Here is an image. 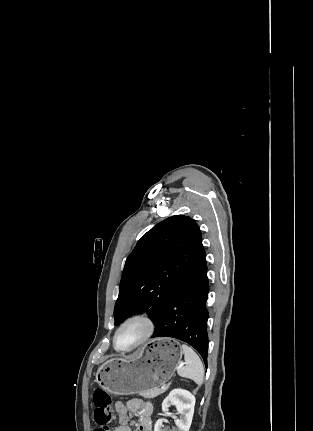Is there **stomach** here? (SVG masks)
Returning <instances> with one entry per match:
<instances>
[{
  "instance_id": "1",
  "label": "stomach",
  "mask_w": 313,
  "mask_h": 431,
  "mask_svg": "<svg viewBox=\"0 0 313 431\" xmlns=\"http://www.w3.org/2000/svg\"><path fill=\"white\" fill-rule=\"evenodd\" d=\"M182 354L177 341L170 338L154 339L127 358L106 361L96 373V382L116 395L159 389L173 376Z\"/></svg>"
}]
</instances>
